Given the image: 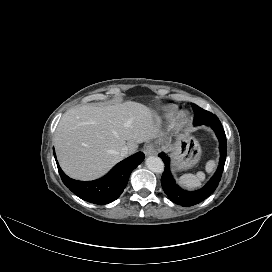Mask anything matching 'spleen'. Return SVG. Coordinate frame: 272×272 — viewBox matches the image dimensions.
Listing matches in <instances>:
<instances>
[{"label": "spleen", "mask_w": 272, "mask_h": 272, "mask_svg": "<svg viewBox=\"0 0 272 272\" xmlns=\"http://www.w3.org/2000/svg\"><path fill=\"white\" fill-rule=\"evenodd\" d=\"M215 168V161L209 160L206 163V171L208 173L212 172ZM205 179V174L201 171L197 174H184L179 178V183L188 188L198 187L201 184V181Z\"/></svg>", "instance_id": "obj_1"}]
</instances>
